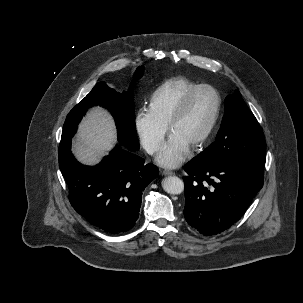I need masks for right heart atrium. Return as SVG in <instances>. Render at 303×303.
<instances>
[{
    "mask_svg": "<svg viewBox=\"0 0 303 303\" xmlns=\"http://www.w3.org/2000/svg\"><path fill=\"white\" fill-rule=\"evenodd\" d=\"M134 128L147 153L153 155L160 150L167 133V125L160 122L150 110L141 108L137 111Z\"/></svg>",
    "mask_w": 303,
    "mask_h": 303,
    "instance_id": "1",
    "label": "right heart atrium"
}]
</instances>
